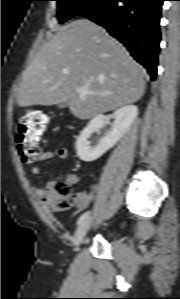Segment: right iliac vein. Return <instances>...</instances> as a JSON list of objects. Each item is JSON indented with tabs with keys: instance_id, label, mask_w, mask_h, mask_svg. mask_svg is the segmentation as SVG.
Returning <instances> with one entry per match:
<instances>
[{
	"instance_id": "63e3f726",
	"label": "right iliac vein",
	"mask_w": 180,
	"mask_h": 299,
	"mask_svg": "<svg viewBox=\"0 0 180 299\" xmlns=\"http://www.w3.org/2000/svg\"><path fill=\"white\" fill-rule=\"evenodd\" d=\"M90 218L83 221L78 228L76 229L74 238H73V245L74 247H78L84 240V237L90 227Z\"/></svg>"
}]
</instances>
